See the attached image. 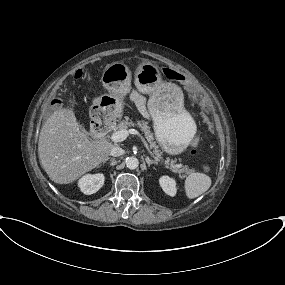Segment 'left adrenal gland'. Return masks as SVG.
<instances>
[{"label": "left adrenal gland", "instance_id": "obj_1", "mask_svg": "<svg viewBox=\"0 0 285 285\" xmlns=\"http://www.w3.org/2000/svg\"><path fill=\"white\" fill-rule=\"evenodd\" d=\"M145 161H146L148 167H150V165H152V164H156V162L154 160H151L149 157H146Z\"/></svg>", "mask_w": 285, "mask_h": 285}]
</instances>
